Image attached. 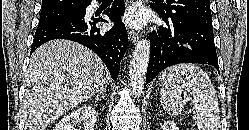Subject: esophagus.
I'll use <instances>...</instances> for the list:
<instances>
[{
  "mask_svg": "<svg viewBox=\"0 0 249 130\" xmlns=\"http://www.w3.org/2000/svg\"><path fill=\"white\" fill-rule=\"evenodd\" d=\"M128 38L132 43H135L139 40V33L133 29H129Z\"/></svg>",
  "mask_w": 249,
  "mask_h": 130,
  "instance_id": "esophagus-1",
  "label": "esophagus"
}]
</instances>
